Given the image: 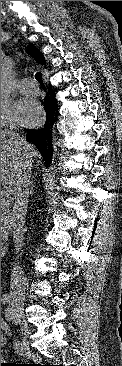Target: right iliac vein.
<instances>
[{"label": "right iliac vein", "mask_w": 122, "mask_h": 366, "mask_svg": "<svg viewBox=\"0 0 122 366\" xmlns=\"http://www.w3.org/2000/svg\"><path fill=\"white\" fill-rule=\"evenodd\" d=\"M15 319H16L17 323L21 326V330H22L23 334L25 336L28 335L30 330H29L28 323L26 322V320L24 318V315L20 312H16Z\"/></svg>", "instance_id": "right-iliac-vein-1"}]
</instances>
